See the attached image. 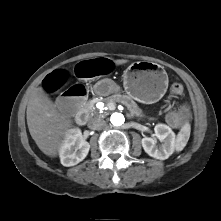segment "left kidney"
Instances as JSON below:
<instances>
[{
    "label": "left kidney",
    "instance_id": "obj_1",
    "mask_svg": "<svg viewBox=\"0 0 221 221\" xmlns=\"http://www.w3.org/2000/svg\"><path fill=\"white\" fill-rule=\"evenodd\" d=\"M154 131L156 138L162 142V145L157 148L155 138L145 137L142 139V147L149 156L165 160L172 155L175 150V134L171 128L165 124H157Z\"/></svg>",
    "mask_w": 221,
    "mask_h": 221
}]
</instances>
